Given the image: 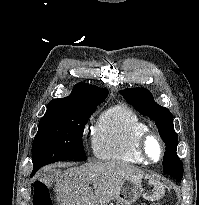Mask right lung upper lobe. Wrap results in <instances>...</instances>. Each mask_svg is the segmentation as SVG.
Here are the masks:
<instances>
[{"label":"right lung upper lobe","mask_w":199,"mask_h":205,"mask_svg":"<svg viewBox=\"0 0 199 205\" xmlns=\"http://www.w3.org/2000/svg\"><path fill=\"white\" fill-rule=\"evenodd\" d=\"M107 95V89H101L97 86L89 85L87 83H78L74 86L71 94L68 97L52 100L49 103L47 110L57 106L74 104L80 101L105 100Z\"/></svg>","instance_id":"right-lung-upper-lobe-1"}]
</instances>
